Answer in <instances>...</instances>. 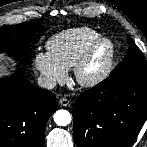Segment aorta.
Wrapping results in <instances>:
<instances>
[{"mask_svg": "<svg viewBox=\"0 0 147 147\" xmlns=\"http://www.w3.org/2000/svg\"><path fill=\"white\" fill-rule=\"evenodd\" d=\"M54 121L58 126H67L71 122V115L67 110H58L54 114Z\"/></svg>", "mask_w": 147, "mask_h": 147, "instance_id": "762f6f07", "label": "aorta"}]
</instances>
